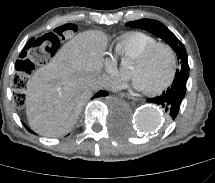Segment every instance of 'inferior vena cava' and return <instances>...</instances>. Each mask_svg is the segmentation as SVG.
<instances>
[{
    "label": "inferior vena cava",
    "mask_w": 215,
    "mask_h": 183,
    "mask_svg": "<svg viewBox=\"0 0 215 183\" xmlns=\"http://www.w3.org/2000/svg\"><path fill=\"white\" fill-rule=\"evenodd\" d=\"M112 85V82L110 80V78L106 75L100 76L99 78H97L95 81H93L90 84V88L92 90H98L100 88H110Z\"/></svg>",
    "instance_id": "1"
}]
</instances>
